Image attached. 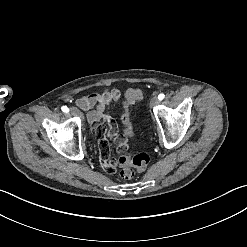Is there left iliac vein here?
Here are the masks:
<instances>
[{"label":"left iliac vein","mask_w":247,"mask_h":247,"mask_svg":"<svg viewBox=\"0 0 247 247\" xmlns=\"http://www.w3.org/2000/svg\"><path fill=\"white\" fill-rule=\"evenodd\" d=\"M158 103V98L156 96H152L150 98V108L154 107Z\"/></svg>","instance_id":"obj_1"}]
</instances>
